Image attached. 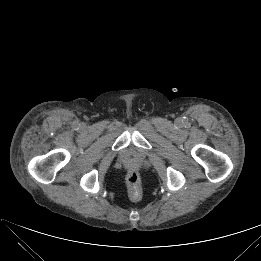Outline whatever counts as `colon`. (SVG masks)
Here are the masks:
<instances>
[{
  "label": "colon",
  "instance_id": "5ec220e1",
  "mask_svg": "<svg viewBox=\"0 0 261 261\" xmlns=\"http://www.w3.org/2000/svg\"><path fill=\"white\" fill-rule=\"evenodd\" d=\"M128 193L132 201H137L141 197V184L139 175L132 172L127 177Z\"/></svg>",
  "mask_w": 261,
  "mask_h": 261
}]
</instances>
